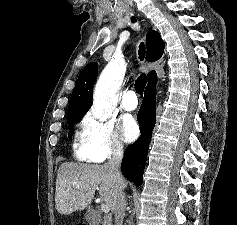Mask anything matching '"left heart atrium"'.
Segmentation results:
<instances>
[{"label": "left heart atrium", "instance_id": "left-heart-atrium-1", "mask_svg": "<svg viewBox=\"0 0 237 225\" xmlns=\"http://www.w3.org/2000/svg\"><path fill=\"white\" fill-rule=\"evenodd\" d=\"M120 129L126 142L134 141L139 135V126L131 116H124L121 119Z\"/></svg>", "mask_w": 237, "mask_h": 225}]
</instances>
